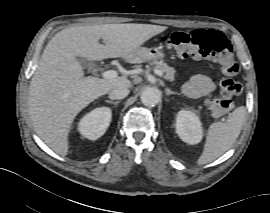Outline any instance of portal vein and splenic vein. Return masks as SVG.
<instances>
[{"mask_svg": "<svg viewBox=\"0 0 270 213\" xmlns=\"http://www.w3.org/2000/svg\"><path fill=\"white\" fill-rule=\"evenodd\" d=\"M155 74H157L160 77H163V72L161 70L158 69H154ZM102 77L105 79H111V78H115L117 77V72L114 70H107L105 72L102 73Z\"/></svg>", "mask_w": 270, "mask_h": 213, "instance_id": "18ae733b", "label": "portal vein and splenic vein"}]
</instances>
